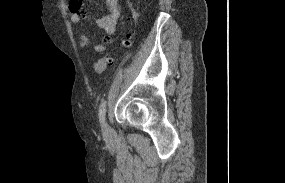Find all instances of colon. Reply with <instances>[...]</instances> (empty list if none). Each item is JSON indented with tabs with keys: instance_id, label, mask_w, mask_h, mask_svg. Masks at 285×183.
Returning a JSON list of instances; mask_svg holds the SVG:
<instances>
[{
	"instance_id": "obj_1",
	"label": "colon",
	"mask_w": 285,
	"mask_h": 183,
	"mask_svg": "<svg viewBox=\"0 0 285 183\" xmlns=\"http://www.w3.org/2000/svg\"><path fill=\"white\" fill-rule=\"evenodd\" d=\"M71 2H74V0H71ZM71 11L79 12V9L73 6L71 7ZM129 45H130V38L129 36H127L125 39L121 41L120 48H127ZM112 62H113V57L111 56V54H105L93 64V70L96 74L101 75L104 73L106 68L112 64Z\"/></svg>"
}]
</instances>
